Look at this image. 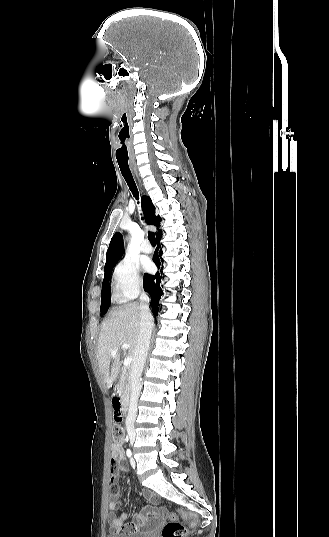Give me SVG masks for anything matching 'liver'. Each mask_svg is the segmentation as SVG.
Returning <instances> with one entry per match:
<instances>
[{
  "instance_id": "1",
  "label": "liver",
  "mask_w": 329,
  "mask_h": 537,
  "mask_svg": "<svg viewBox=\"0 0 329 537\" xmlns=\"http://www.w3.org/2000/svg\"><path fill=\"white\" fill-rule=\"evenodd\" d=\"M140 313L138 304L129 303L112 311L109 318L102 324L97 344V359L108 389L120 372L123 343L129 345V357H134L140 326ZM113 350H117L115 356L111 355ZM112 358L114 362L111 366Z\"/></svg>"
}]
</instances>
